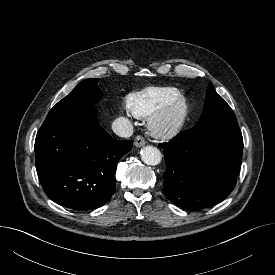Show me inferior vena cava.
<instances>
[{
    "mask_svg": "<svg viewBox=\"0 0 275 275\" xmlns=\"http://www.w3.org/2000/svg\"><path fill=\"white\" fill-rule=\"evenodd\" d=\"M113 132L120 137H130L133 134L131 122L124 117H120L112 123Z\"/></svg>",
    "mask_w": 275,
    "mask_h": 275,
    "instance_id": "inferior-vena-cava-1",
    "label": "inferior vena cava"
}]
</instances>
